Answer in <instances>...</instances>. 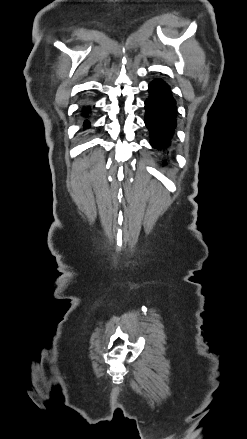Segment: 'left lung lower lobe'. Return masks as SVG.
I'll return each mask as SVG.
<instances>
[{"label":"left lung lower lobe","mask_w":247,"mask_h":439,"mask_svg":"<svg viewBox=\"0 0 247 439\" xmlns=\"http://www.w3.org/2000/svg\"><path fill=\"white\" fill-rule=\"evenodd\" d=\"M148 88L150 97L145 101L144 121L152 135V146L164 149L170 143L176 124L175 102L164 81L155 79Z\"/></svg>","instance_id":"1"}]
</instances>
